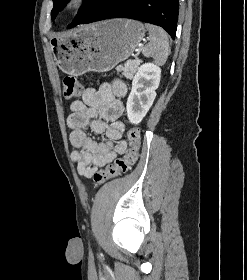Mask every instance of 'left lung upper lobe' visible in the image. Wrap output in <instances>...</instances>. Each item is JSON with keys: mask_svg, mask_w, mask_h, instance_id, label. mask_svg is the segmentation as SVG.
Here are the masks:
<instances>
[{"mask_svg": "<svg viewBox=\"0 0 247 280\" xmlns=\"http://www.w3.org/2000/svg\"><path fill=\"white\" fill-rule=\"evenodd\" d=\"M107 0H88L87 5L82 6L72 22V24L78 25L82 20H84L92 11H94L97 7L104 4ZM54 7L51 12L52 20L56 18L58 12H60L65 5L66 0H53Z\"/></svg>", "mask_w": 247, "mask_h": 280, "instance_id": "1", "label": "left lung upper lobe"}]
</instances>
